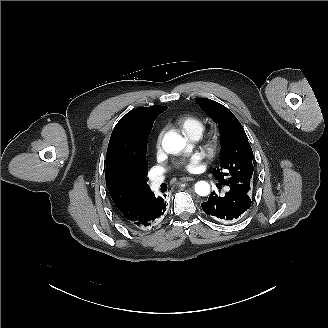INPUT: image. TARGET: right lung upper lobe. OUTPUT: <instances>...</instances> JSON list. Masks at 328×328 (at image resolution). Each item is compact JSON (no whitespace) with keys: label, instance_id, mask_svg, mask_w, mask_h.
Segmentation results:
<instances>
[{"label":"right lung upper lobe","instance_id":"right-lung-upper-lobe-1","mask_svg":"<svg viewBox=\"0 0 328 328\" xmlns=\"http://www.w3.org/2000/svg\"><path fill=\"white\" fill-rule=\"evenodd\" d=\"M166 106L140 107L124 115L116 124L106 154V187L122 221L135 223L153 195L145 182L133 169L125 147L129 126L140 116L160 114Z\"/></svg>","mask_w":328,"mask_h":328}]
</instances>
